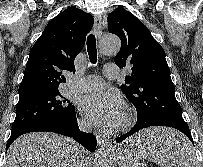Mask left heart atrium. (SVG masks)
Here are the masks:
<instances>
[{
  "label": "left heart atrium",
  "instance_id": "left-heart-atrium-1",
  "mask_svg": "<svg viewBox=\"0 0 203 167\" xmlns=\"http://www.w3.org/2000/svg\"><path fill=\"white\" fill-rule=\"evenodd\" d=\"M81 112L95 125L113 127L118 125L124 115V103L113 92H95L82 97L79 103Z\"/></svg>",
  "mask_w": 203,
  "mask_h": 167
}]
</instances>
